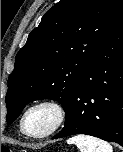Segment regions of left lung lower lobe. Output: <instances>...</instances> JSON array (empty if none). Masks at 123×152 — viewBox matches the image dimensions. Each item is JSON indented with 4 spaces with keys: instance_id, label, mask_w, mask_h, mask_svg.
<instances>
[{
    "instance_id": "obj_1",
    "label": "left lung lower lobe",
    "mask_w": 123,
    "mask_h": 152,
    "mask_svg": "<svg viewBox=\"0 0 123 152\" xmlns=\"http://www.w3.org/2000/svg\"><path fill=\"white\" fill-rule=\"evenodd\" d=\"M52 139L86 134L123 146V4L89 59Z\"/></svg>"
}]
</instances>
